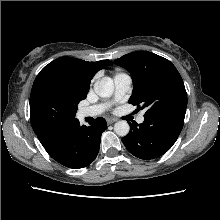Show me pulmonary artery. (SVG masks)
Returning a JSON list of instances; mask_svg holds the SVG:
<instances>
[{"label":"pulmonary artery","instance_id":"obj_1","mask_svg":"<svg viewBox=\"0 0 220 220\" xmlns=\"http://www.w3.org/2000/svg\"><path fill=\"white\" fill-rule=\"evenodd\" d=\"M114 83V100L118 101L124 97V95L127 93L130 85H131V78L128 74L125 73H118L113 78ZM107 106L105 104H99L87 108H83L79 111L78 116L80 118L85 117H94L102 114ZM138 123L144 122V115L140 114L137 117Z\"/></svg>","mask_w":220,"mask_h":220}]
</instances>
